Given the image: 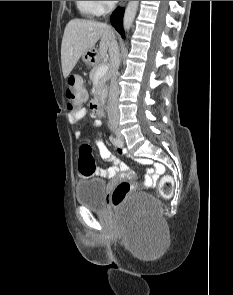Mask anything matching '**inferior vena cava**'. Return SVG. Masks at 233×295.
<instances>
[{
  "label": "inferior vena cava",
  "instance_id": "inferior-vena-cava-1",
  "mask_svg": "<svg viewBox=\"0 0 233 295\" xmlns=\"http://www.w3.org/2000/svg\"><path fill=\"white\" fill-rule=\"evenodd\" d=\"M109 55L113 65L111 72V84L108 95L107 110L110 117L118 118L119 111L117 106L118 96H119V87L117 83V74L120 66V54L118 49V44L115 38H113L109 46Z\"/></svg>",
  "mask_w": 233,
  "mask_h": 295
}]
</instances>
